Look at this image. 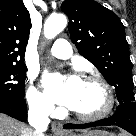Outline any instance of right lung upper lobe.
<instances>
[{
    "mask_svg": "<svg viewBox=\"0 0 136 136\" xmlns=\"http://www.w3.org/2000/svg\"><path fill=\"white\" fill-rule=\"evenodd\" d=\"M30 29L22 0H0V64H24Z\"/></svg>",
    "mask_w": 136,
    "mask_h": 136,
    "instance_id": "cb5924a9",
    "label": "right lung upper lobe"
}]
</instances>
